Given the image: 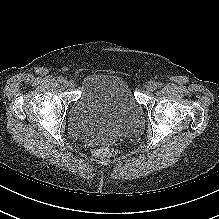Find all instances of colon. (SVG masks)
I'll return each mask as SVG.
<instances>
[{
    "mask_svg": "<svg viewBox=\"0 0 219 219\" xmlns=\"http://www.w3.org/2000/svg\"><path fill=\"white\" fill-rule=\"evenodd\" d=\"M93 154L100 158H111L115 155V151L109 147L95 148Z\"/></svg>",
    "mask_w": 219,
    "mask_h": 219,
    "instance_id": "obj_1",
    "label": "colon"
}]
</instances>
